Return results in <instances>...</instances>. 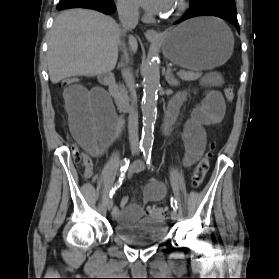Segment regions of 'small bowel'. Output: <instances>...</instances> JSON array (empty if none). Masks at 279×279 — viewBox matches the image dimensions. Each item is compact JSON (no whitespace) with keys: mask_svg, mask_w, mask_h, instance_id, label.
<instances>
[{"mask_svg":"<svg viewBox=\"0 0 279 279\" xmlns=\"http://www.w3.org/2000/svg\"><path fill=\"white\" fill-rule=\"evenodd\" d=\"M65 109L68 114L70 131L75 140L94 157L102 156L115 141L120 121L114 108L100 88L87 89L82 85H73L63 92ZM183 96L174 99L166 115V128L174 121ZM225 113L223 97L218 91H208L203 103L194 109L184 128L186 154L184 163L192 165L202 154L206 144L204 126L219 124ZM146 165L142 161L134 162L130 168L131 175L143 172ZM85 178L93 176L92 167L84 170ZM166 196L165 185L156 179H151L144 189L143 201L162 200ZM113 216L121 222L132 223L143 216L139 204H127V197H123L120 204L113 209Z\"/></svg>","mask_w":279,"mask_h":279,"instance_id":"obj_1","label":"small bowel"}]
</instances>
